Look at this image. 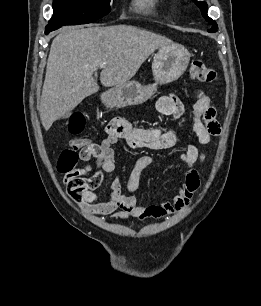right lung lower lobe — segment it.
I'll return each mask as SVG.
<instances>
[{
    "label": "right lung lower lobe",
    "mask_w": 261,
    "mask_h": 306,
    "mask_svg": "<svg viewBox=\"0 0 261 306\" xmlns=\"http://www.w3.org/2000/svg\"><path fill=\"white\" fill-rule=\"evenodd\" d=\"M61 26H55V25H47L45 29V34H49L51 31L56 30L60 28Z\"/></svg>",
    "instance_id": "right-lung-lower-lobe-1"
}]
</instances>
